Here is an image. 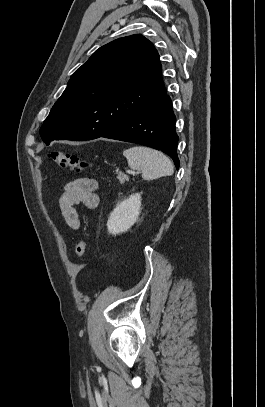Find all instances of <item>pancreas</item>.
Instances as JSON below:
<instances>
[{"instance_id": "1", "label": "pancreas", "mask_w": 265, "mask_h": 407, "mask_svg": "<svg viewBox=\"0 0 265 407\" xmlns=\"http://www.w3.org/2000/svg\"><path fill=\"white\" fill-rule=\"evenodd\" d=\"M117 178L120 181V183H124L125 181L129 180L128 176L122 172L118 173Z\"/></svg>"}]
</instances>
